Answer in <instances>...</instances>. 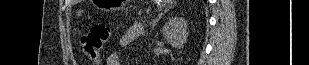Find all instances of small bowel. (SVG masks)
<instances>
[{
  "instance_id": "c3829d8e",
  "label": "small bowel",
  "mask_w": 309,
  "mask_h": 65,
  "mask_svg": "<svg viewBox=\"0 0 309 65\" xmlns=\"http://www.w3.org/2000/svg\"><path fill=\"white\" fill-rule=\"evenodd\" d=\"M144 32L143 25L140 22L133 24L119 38V47L129 45L133 40L141 36ZM107 65H121V58L118 54H110L107 59Z\"/></svg>"
}]
</instances>
